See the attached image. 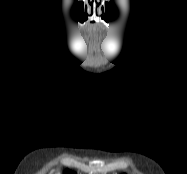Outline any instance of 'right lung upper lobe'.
I'll return each instance as SVG.
<instances>
[{
	"instance_id": "obj_1",
	"label": "right lung upper lobe",
	"mask_w": 187,
	"mask_h": 174,
	"mask_svg": "<svg viewBox=\"0 0 187 174\" xmlns=\"http://www.w3.org/2000/svg\"><path fill=\"white\" fill-rule=\"evenodd\" d=\"M64 174H75V173H73V172H71L69 170H66Z\"/></svg>"
}]
</instances>
